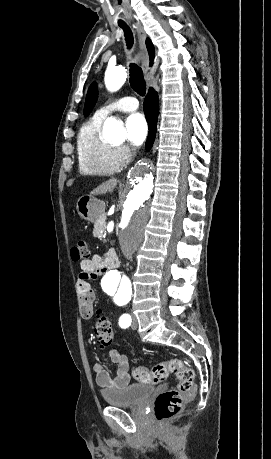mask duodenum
I'll use <instances>...</instances> for the list:
<instances>
[{
  "label": "duodenum",
  "instance_id": "obj_1",
  "mask_svg": "<svg viewBox=\"0 0 271 459\" xmlns=\"http://www.w3.org/2000/svg\"><path fill=\"white\" fill-rule=\"evenodd\" d=\"M109 267L115 269L119 266V262L115 256H111L108 260Z\"/></svg>",
  "mask_w": 271,
  "mask_h": 459
}]
</instances>
